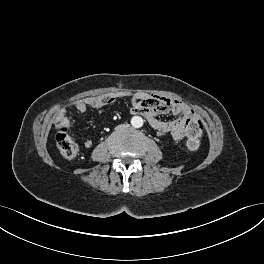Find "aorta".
Here are the masks:
<instances>
[{
	"label": "aorta",
	"instance_id": "1",
	"mask_svg": "<svg viewBox=\"0 0 264 264\" xmlns=\"http://www.w3.org/2000/svg\"><path fill=\"white\" fill-rule=\"evenodd\" d=\"M131 125L135 128H140L143 126V119L140 116H133L131 118Z\"/></svg>",
	"mask_w": 264,
	"mask_h": 264
}]
</instances>
